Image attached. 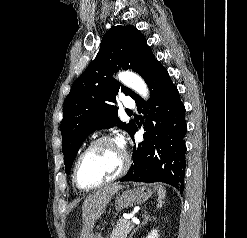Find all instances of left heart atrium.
Masks as SVG:
<instances>
[{"instance_id":"39dd6f15","label":"left heart atrium","mask_w":247,"mask_h":238,"mask_svg":"<svg viewBox=\"0 0 247 238\" xmlns=\"http://www.w3.org/2000/svg\"><path fill=\"white\" fill-rule=\"evenodd\" d=\"M117 144L119 145V147L123 148V146L125 144V140L122 136L118 137Z\"/></svg>"}]
</instances>
